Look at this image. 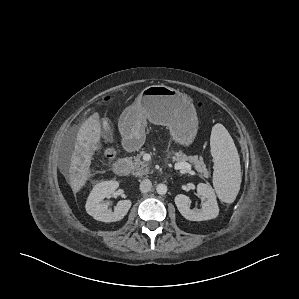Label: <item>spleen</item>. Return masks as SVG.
<instances>
[{
    "mask_svg": "<svg viewBox=\"0 0 299 299\" xmlns=\"http://www.w3.org/2000/svg\"><path fill=\"white\" fill-rule=\"evenodd\" d=\"M210 146L214 160L215 191L221 201L232 203L240 190V159L232 137L220 123L212 128Z\"/></svg>",
    "mask_w": 299,
    "mask_h": 299,
    "instance_id": "1",
    "label": "spleen"
}]
</instances>
